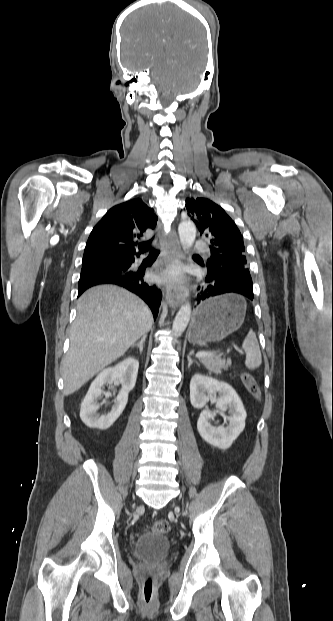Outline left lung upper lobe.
<instances>
[{
    "instance_id": "left-lung-upper-lobe-1",
    "label": "left lung upper lobe",
    "mask_w": 333,
    "mask_h": 621,
    "mask_svg": "<svg viewBox=\"0 0 333 621\" xmlns=\"http://www.w3.org/2000/svg\"><path fill=\"white\" fill-rule=\"evenodd\" d=\"M186 210L200 233L210 239L207 269L221 266L228 271L249 273L243 237L224 209L206 198H187Z\"/></svg>"
}]
</instances>
